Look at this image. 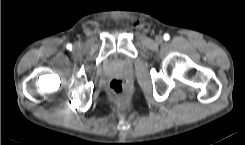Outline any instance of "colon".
Here are the masks:
<instances>
[{"mask_svg":"<svg viewBox=\"0 0 245 145\" xmlns=\"http://www.w3.org/2000/svg\"><path fill=\"white\" fill-rule=\"evenodd\" d=\"M141 29H146V25L138 24ZM109 93L116 99H123L130 95L131 88L126 80L114 79L109 84Z\"/></svg>","mask_w":245,"mask_h":145,"instance_id":"colon-1","label":"colon"}]
</instances>
